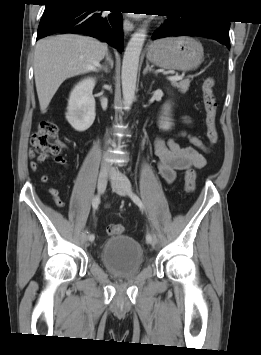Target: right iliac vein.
Segmentation results:
<instances>
[{
    "label": "right iliac vein",
    "mask_w": 261,
    "mask_h": 355,
    "mask_svg": "<svg viewBox=\"0 0 261 355\" xmlns=\"http://www.w3.org/2000/svg\"><path fill=\"white\" fill-rule=\"evenodd\" d=\"M108 176H109V170L103 169V170L100 171V174H99V177H98V182H97V187H98L99 193H103L104 192V190L106 188V185H107ZM81 240L83 242L87 241V236H86L85 232L82 233Z\"/></svg>",
    "instance_id": "right-iliac-vein-1"
}]
</instances>
